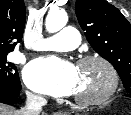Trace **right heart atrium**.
Listing matches in <instances>:
<instances>
[{
    "mask_svg": "<svg viewBox=\"0 0 131 115\" xmlns=\"http://www.w3.org/2000/svg\"><path fill=\"white\" fill-rule=\"evenodd\" d=\"M29 97L30 98H35L36 96L34 94H32V93H29Z\"/></svg>",
    "mask_w": 131,
    "mask_h": 115,
    "instance_id": "obj_1",
    "label": "right heart atrium"
}]
</instances>
